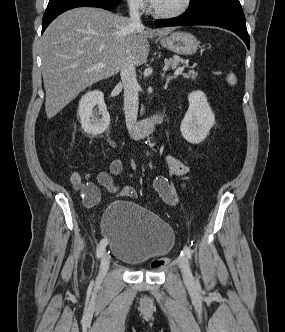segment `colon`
Returning <instances> with one entry per match:
<instances>
[{"instance_id": "obj_1", "label": "colon", "mask_w": 285, "mask_h": 332, "mask_svg": "<svg viewBox=\"0 0 285 332\" xmlns=\"http://www.w3.org/2000/svg\"><path fill=\"white\" fill-rule=\"evenodd\" d=\"M167 262H168V260L166 258H159V259H156L152 262V266L154 268L162 267L165 264H167Z\"/></svg>"}]
</instances>
